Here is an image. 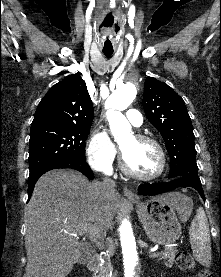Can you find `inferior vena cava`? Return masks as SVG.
Here are the masks:
<instances>
[{
    "label": "inferior vena cava",
    "instance_id": "inferior-vena-cava-1",
    "mask_svg": "<svg viewBox=\"0 0 221 277\" xmlns=\"http://www.w3.org/2000/svg\"><path fill=\"white\" fill-rule=\"evenodd\" d=\"M116 183L109 177L103 178L102 181V193L105 196H108L111 192L115 191Z\"/></svg>",
    "mask_w": 221,
    "mask_h": 277
}]
</instances>
